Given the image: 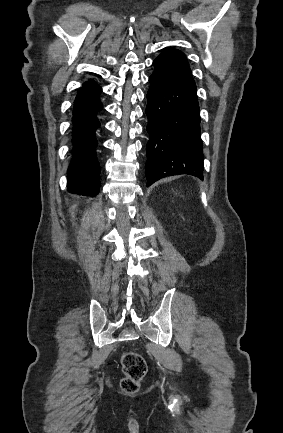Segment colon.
<instances>
[{"label":"colon","instance_id":"obj_1","mask_svg":"<svg viewBox=\"0 0 283 433\" xmlns=\"http://www.w3.org/2000/svg\"><path fill=\"white\" fill-rule=\"evenodd\" d=\"M121 365L124 373L121 381L122 390L130 394L136 393L147 371L145 359L137 352L128 351L123 354Z\"/></svg>","mask_w":283,"mask_h":433}]
</instances>
